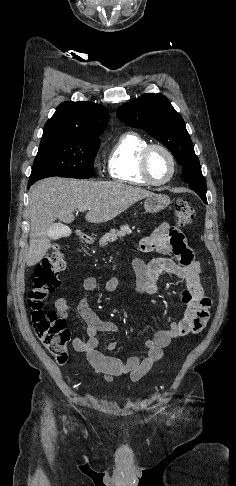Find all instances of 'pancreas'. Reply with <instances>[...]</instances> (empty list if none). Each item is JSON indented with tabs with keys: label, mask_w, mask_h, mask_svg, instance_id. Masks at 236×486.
I'll return each instance as SVG.
<instances>
[{
	"label": "pancreas",
	"mask_w": 236,
	"mask_h": 486,
	"mask_svg": "<svg viewBox=\"0 0 236 486\" xmlns=\"http://www.w3.org/2000/svg\"><path fill=\"white\" fill-rule=\"evenodd\" d=\"M140 232V231H139ZM132 230L128 225H122L119 230L112 229L109 233H106L100 240L99 245L104 247L109 243L116 241L119 237L130 235Z\"/></svg>",
	"instance_id": "pancreas-1"
}]
</instances>
